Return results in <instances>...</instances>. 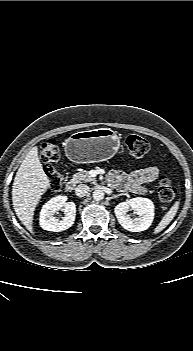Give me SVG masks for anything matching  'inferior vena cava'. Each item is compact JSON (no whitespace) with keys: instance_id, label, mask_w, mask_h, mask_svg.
<instances>
[{"instance_id":"602c4592","label":"inferior vena cava","mask_w":193,"mask_h":351,"mask_svg":"<svg viewBox=\"0 0 193 351\" xmlns=\"http://www.w3.org/2000/svg\"><path fill=\"white\" fill-rule=\"evenodd\" d=\"M89 190H90L89 186L85 184H80L75 188V194L78 197H83L89 192Z\"/></svg>"}]
</instances>
